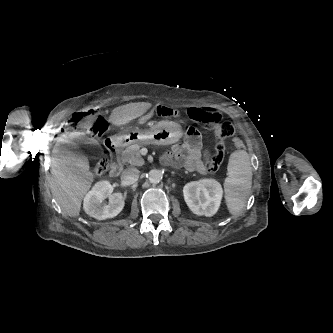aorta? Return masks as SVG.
Here are the masks:
<instances>
[{"label":"aorta","instance_id":"1","mask_svg":"<svg viewBox=\"0 0 333 333\" xmlns=\"http://www.w3.org/2000/svg\"><path fill=\"white\" fill-rule=\"evenodd\" d=\"M162 173L159 170L153 169L148 173V179L152 184H157L162 180Z\"/></svg>","mask_w":333,"mask_h":333}]
</instances>
